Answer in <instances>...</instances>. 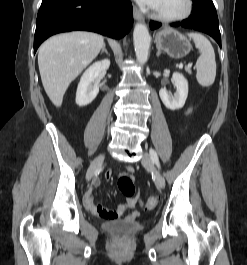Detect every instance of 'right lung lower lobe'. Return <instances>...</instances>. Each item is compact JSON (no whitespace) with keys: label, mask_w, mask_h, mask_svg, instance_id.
<instances>
[{"label":"right lung lower lobe","mask_w":247,"mask_h":265,"mask_svg":"<svg viewBox=\"0 0 247 265\" xmlns=\"http://www.w3.org/2000/svg\"><path fill=\"white\" fill-rule=\"evenodd\" d=\"M133 24L129 0H43L38 12L34 53L49 36L73 30L121 38Z\"/></svg>","instance_id":"right-lung-lower-lobe-1"}]
</instances>
